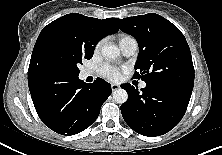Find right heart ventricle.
<instances>
[{"instance_id":"obj_1","label":"right heart ventricle","mask_w":222,"mask_h":155,"mask_svg":"<svg viewBox=\"0 0 222 155\" xmlns=\"http://www.w3.org/2000/svg\"><path fill=\"white\" fill-rule=\"evenodd\" d=\"M127 40H133V38L129 35H121L119 37V44H121L122 42L127 41Z\"/></svg>"}]
</instances>
